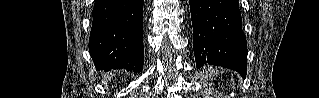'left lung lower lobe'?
<instances>
[{
    "label": "left lung lower lobe",
    "instance_id": "0a47b994",
    "mask_svg": "<svg viewBox=\"0 0 319 98\" xmlns=\"http://www.w3.org/2000/svg\"><path fill=\"white\" fill-rule=\"evenodd\" d=\"M197 68L205 63L246 76L247 43L238 0H189Z\"/></svg>",
    "mask_w": 319,
    "mask_h": 98
}]
</instances>
